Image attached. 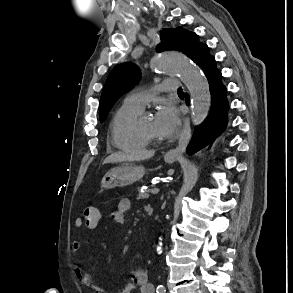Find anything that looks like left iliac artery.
<instances>
[{
  "label": "left iliac artery",
  "mask_w": 293,
  "mask_h": 293,
  "mask_svg": "<svg viewBox=\"0 0 293 293\" xmlns=\"http://www.w3.org/2000/svg\"><path fill=\"white\" fill-rule=\"evenodd\" d=\"M156 292L157 293H165L166 289H165V287L163 285H158L157 289H156Z\"/></svg>",
  "instance_id": "left-iliac-artery-1"
}]
</instances>
